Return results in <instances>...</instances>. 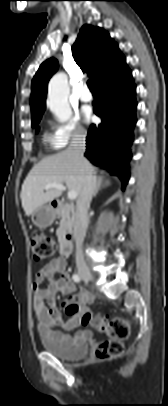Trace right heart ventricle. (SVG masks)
Returning <instances> with one entry per match:
<instances>
[{
    "label": "right heart ventricle",
    "mask_w": 168,
    "mask_h": 406,
    "mask_svg": "<svg viewBox=\"0 0 168 406\" xmlns=\"http://www.w3.org/2000/svg\"><path fill=\"white\" fill-rule=\"evenodd\" d=\"M43 139H44V142L49 144L51 147L59 148L58 145L56 144L52 134L45 132L43 135Z\"/></svg>",
    "instance_id": "right-heart-ventricle-1"
}]
</instances>
